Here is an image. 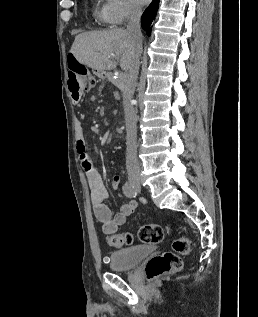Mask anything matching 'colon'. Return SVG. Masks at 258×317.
<instances>
[{
    "instance_id": "5ec220e1",
    "label": "colon",
    "mask_w": 258,
    "mask_h": 317,
    "mask_svg": "<svg viewBox=\"0 0 258 317\" xmlns=\"http://www.w3.org/2000/svg\"><path fill=\"white\" fill-rule=\"evenodd\" d=\"M67 63L70 70L76 71L82 80L86 90H90L95 85V78L90 70L83 66L72 52L68 53ZM164 237V230L156 224L143 225L138 232V238L143 243H158ZM133 242L131 233L113 234L107 237V243L115 248L130 245ZM190 250L187 238L179 237L172 244V251L157 254L149 259L145 272L149 280H154L169 272L182 268L181 256Z\"/></svg>"
}]
</instances>
